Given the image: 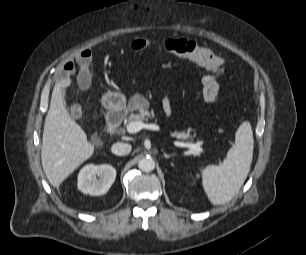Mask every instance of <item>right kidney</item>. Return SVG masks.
<instances>
[{
  "mask_svg": "<svg viewBox=\"0 0 306 255\" xmlns=\"http://www.w3.org/2000/svg\"><path fill=\"white\" fill-rule=\"evenodd\" d=\"M115 178L116 170L113 166L108 164H89L79 172L78 189L85 194L103 195L112 186Z\"/></svg>",
  "mask_w": 306,
  "mask_h": 255,
  "instance_id": "obj_1",
  "label": "right kidney"
}]
</instances>
